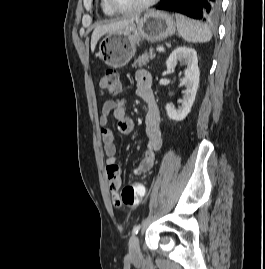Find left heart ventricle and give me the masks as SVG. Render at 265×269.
Listing matches in <instances>:
<instances>
[{
    "mask_svg": "<svg viewBox=\"0 0 265 269\" xmlns=\"http://www.w3.org/2000/svg\"><path fill=\"white\" fill-rule=\"evenodd\" d=\"M116 5L120 8H131L143 4L148 0H114Z\"/></svg>",
    "mask_w": 265,
    "mask_h": 269,
    "instance_id": "obj_1",
    "label": "left heart ventricle"
}]
</instances>
